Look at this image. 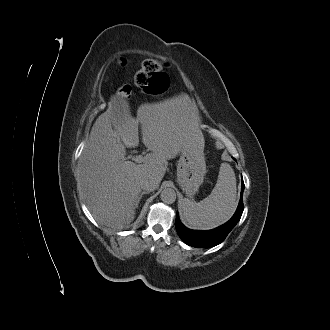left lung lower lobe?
Masks as SVG:
<instances>
[{
	"label": "left lung lower lobe",
	"instance_id": "obj_1",
	"mask_svg": "<svg viewBox=\"0 0 330 330\" xmlns=\"http://www.w3.org/2000/svg\"><path fill=\"white\" fill-rule=\"evenodd\" d=\"M241 198L238 205V208L233 215V217L224 225L215 228L213 230L208 231H196L190 230L186 228L180 221L178 212L176 216V230L180 236V238L189 246L197 247V248H210L216 246L223 242L229 232L235 227L238 221L241 218L243 213V189L244 183L242 179V187H241Z\"/></svg>",
	"mask_w": 330,
	"mask_h": 330
}]
</instances>
